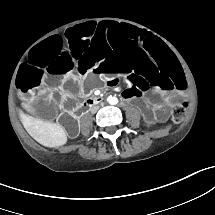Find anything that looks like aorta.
Returning <instances> with one entry per match:
<instances>
[{
  "label": "aorta",
  "mask_w": 215,
  "mask_h": 215,
  "mask_svg": "<svg viewBox=\"0 0 215 215\" xmlns=\"http://www.w3.org/2000/svg\"><path fill=\"white\" fill-rule=\"evenodd\" d=\"M107 102H108L109 104H111V105H115V104L118 103V100H117L116 97H108V98H107Z\"/></svg>",
  "instance_id": "aorta-1"
}]
</instances>
